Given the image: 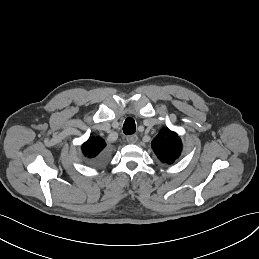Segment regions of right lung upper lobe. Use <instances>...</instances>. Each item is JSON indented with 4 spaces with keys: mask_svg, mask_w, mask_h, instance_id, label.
Returning <instances> with one entry per match:
<instances>
[{
    "mask_svg": "<svg viewBox=\"0 0 259 259\" xmlns=\"http://www.w3.org/2000/svg\"><path fill=\"white\" fill-rule=\"evenodd\" d=\"M106 147L105 140L98 136H91L82 145V152L87 158L96 157Z\"/></svg>",
    "mask_w": 259,
    "mask_h": 259,
    "instance_id": "right-lung-upper-lobe-1",
    "label": "right lung upper lobe"
}]
</instances>
